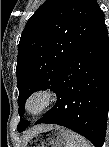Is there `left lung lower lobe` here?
<instances>
[{"label": "left lung lower lobe", "mask_w": 109, "mask_h": 147, "mask_svg": "<svg viewBox=\"0 0 109 147\" xmlns=\"http://www.w3.org/2000/svg\"><path fill=\"white\" fill-rule=\"evenodd\" d=\"M54 91L55 106L35 124L67 127L102 147L109 109V38L104 18L68 59Z\"/></svg>", "instance_id": "left-lung-lower-lobe-1"}]
</instances>
